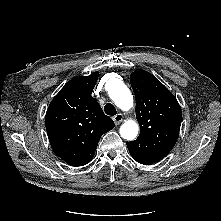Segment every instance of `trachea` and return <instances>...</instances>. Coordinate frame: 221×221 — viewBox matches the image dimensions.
Segmentation results:
<instances>
[{
	"label": "trachea",
	"instance_id": "1",
	"mask_svg": "<svg viewBox=\"0 0 221 221\" xmlns=\"http://www.w3.org/2000/svg\"><path fill=\"white\" fill-rule=\"evenodd\" d=\"M104 111L107 115H110V116H113V115H116L117 111L114 107L113 104L111 103H107L105 106H104Z\"/></svg>",
	"mask_w": 221,
	"mask_h": 221
}]
</instances>
